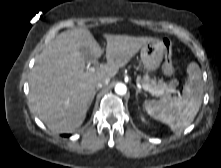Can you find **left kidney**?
<instances>
[{"instance_id": "left-kidney-1", "label": "left kidney", "mask_w": 221, "mask_h": 168, "mask_svg": "<svg viewBox=\"0 0 221 168\" xmlns=\"http://www.w3.org/2000/svg\"><path fill=\"white\" fill-rule=\"evenodd\" d=\"M142 118V121H145L144 117H141Z\"/></svg>"}]
</instances>
